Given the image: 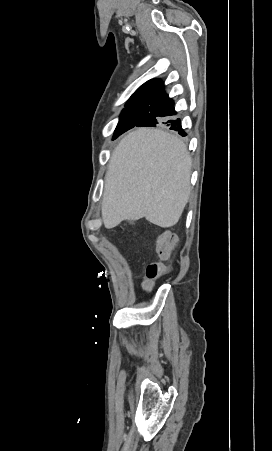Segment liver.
Segmentation results:
<instances>
[{"label":"liver","mask_w":272,"mask_h":451,"mask_svg":"<svg viewBox=\"0 0 272 451\" xmlns=\"http://www.w3.org/2000/svg\"><path fill=\"white\" fill-rule=\"evenodd\" d=\"M192 160L180 138L157 128H138L116 146L108 164L102 200L105 227L146 218L177 224L190 196Z\"/></svg>","instance_id":"6515ba94"}]
</instances>
